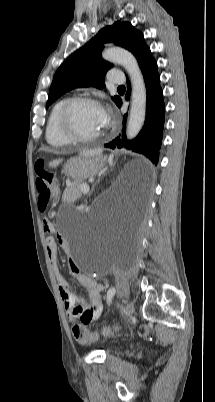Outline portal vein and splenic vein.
<instances>
[{
  "label": "portal vein and splenic vein",
  "mask_w": 215,
  "mask_h": 402,
  "mask_svg": "<svg viewBox=\"0 0 215 402\" xmlns=\"http://www.w3.org/2000/svg\"><path fill=\"white\" fill-rule=\"evenodd\" d=\"M81 189H82V192H83L84 194H87V193L89 192V186H84V185H82V186H81Z\"/></svg>",
  "instance_id": "1"
}]
</instances>
